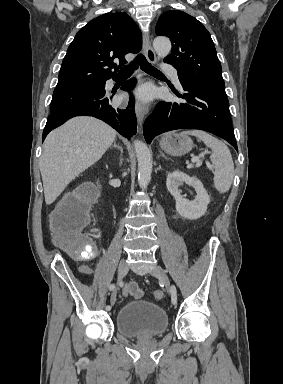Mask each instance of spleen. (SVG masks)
I'll return each mask as SVG.
<instances>
[{
	"instance_id": "spleen-1",
	"label": "spleen",
	"mask_w": 283,
	"mask_h": 384,
	"mask_svg": "<svg viewBox=\"0 0 283 384\" xmlns=\"http://www.w3.org/2000/svg\"><path fill=\"white\" fill-rule=\"evenodd\" d=\"M183 136H196L204 142L207 148H211L212 154L210 160L214 168V186L219 194H225L231 188L234 178V164L229 148L201 130H191V132H182Z\"/></svg>"
}]
</instances>
